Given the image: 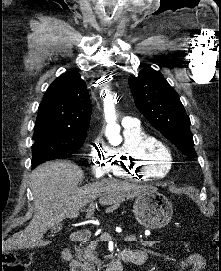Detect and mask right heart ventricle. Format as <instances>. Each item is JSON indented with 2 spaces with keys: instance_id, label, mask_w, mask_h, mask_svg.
I'll use <instances>...</instances> for the list:
<instances>
[{
  "instance_id": "e07e8e85",
  "label": "right heart ventricle",
  "mask_w": 221,
  "mask_h": 271,
  "mask_svg": "<svg viewBox=\"0 0 221 271\" xmlns=\"http://www.w3.org/2000/svg\"><path fill=\"white\" fill-rule=\"evenodd\" d=\"M166 144L160 136L146 131L126 138L120 147L121 161L109 164L110 172L119 179H155L156 176L167 179L173 174L176 159L166 158L169 151ZM147 150L151 152L149 155L145 153Z\"/></svg>"
}]
</instances>
